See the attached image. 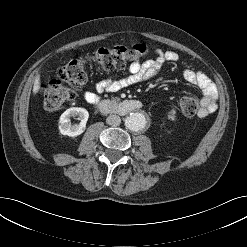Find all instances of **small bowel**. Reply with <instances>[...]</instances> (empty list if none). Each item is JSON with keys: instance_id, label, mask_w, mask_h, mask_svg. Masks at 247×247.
Wrapping results in <instances>:
<instances>
[{"instance_id": "obj_1", "label": "small bowel", "mask_w": 247, "mask_h": 247, "mask_svg": "<svg viewBox=\"0 0 247 247\" xmlns=\"http://www.w3.org/2000/svg\"><path fill=\"white\" fill-rule=\"evenodd\" d=\"M153 60L140 63L138 60L131 63L128 74L118 79H106L96 85L94 91H87L83 97L87 102L94 103L100 100L104 93L117 92L134 84L149 81L155 78L165 62H176L179 59L177 52L172 50H156ZM183 77L187 83L201 91L202 98L198 111L199 117H206L216 109L218 91L211 79L203 72L192 68H184Z\"/></svg>"}]
</instances>
